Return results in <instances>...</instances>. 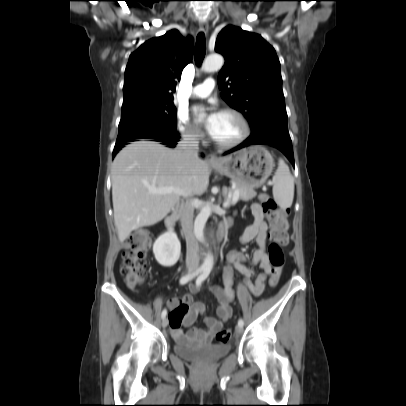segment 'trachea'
<instances>
[{
    "instance_id": "1",
    "label": "trachea",
    "mask_w": 406,
    "mask_h": 406,
    "mask_svg": "<svg viewBox=\"0 0 406 406\" xmlns=\"http://www.w3.org/2000/svg\"><path fill=\"white\" fill-rule=\"evenodd\" d=\"M206 53L205 36L203 32H200L196 38L195 46V62L198 66L201 65Z\"/></svg>"
}]
</instances>
